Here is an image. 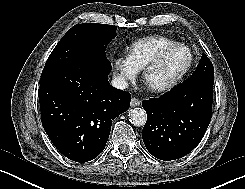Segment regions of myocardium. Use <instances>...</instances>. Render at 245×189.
Returning <instances> with one entry per match:
<instances>
[{"instance_id":"f54148a6","label":"myocardium","mask_w":245,"mask_h":189,"mask_svg":"<svg viewBox=\"0 0 245 189\" xmlns=\"http://www.w3.org/2000/svg\"><path fill=\"white\" fill-rule=\"evenodd\" d=\"M176 48H185L188 50L189 52V62L186 66V68L171 82L162 85V86H148L149 89L154 92V93H165L168 91L173 90L174 88H176L177 86H179L184 80L185 78L188 76V74L190 73V71L193 68L194 65V53L191 50V48L184 44V43H173L170 45H167L165 47H163L143 68V72H142V80L143 82L146 84V80L147 77L149 75V73L155 69L160 63L161 61L165 58V56L171 52L172 50L176 49Z\"/></svg>"}]
</instances>
